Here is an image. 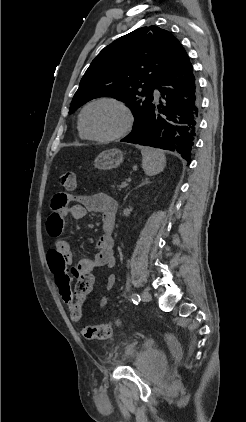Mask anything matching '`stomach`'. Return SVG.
I'll use <instances>...</instances> for the list:
<instances>
[{
    "instance_id": "0dacf381",
    "label": "stomach",
    "mask_w": 246,
    "mask_h": 422,
    "mask_svg": "<svg viewBox=\"0 0 246 422\" xmlns=\"http://www.w3.org/2000/svg\"><path fill=\"white\" fill-rule=\"evenodd\" d=\"M123 152L113 148L101 152L94 161V166L101 170L118 167L123 162Z\"/></svg>"
}]
</instances>
